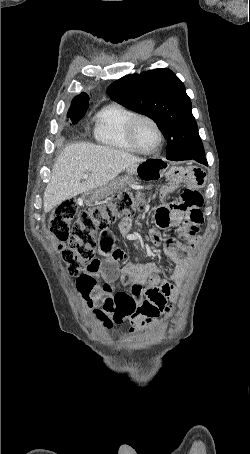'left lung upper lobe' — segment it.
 <instances>
[{"mask_svg": "<svg viewBox=\"0 0 250 454\" xmlns=\"http://www.w3.org/2000/svg\"><path fill=\"white\" fill-rule=\"evenodd\" d=\"M107 93L124 107L156 122L167 140V159L204 154L190 98L171 70L127 75L112 83Z\"/></svg>", "mask_w": 250, "mask_h": 454, "instance_id": "left-lung-upper-lobe-1", "label": "left lung upper lobe"}]
</instances>
